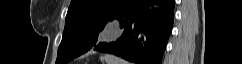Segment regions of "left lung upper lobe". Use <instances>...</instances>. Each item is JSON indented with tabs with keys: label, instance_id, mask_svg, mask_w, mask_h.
<instances>
[{
	"label": "left lung upper lobe",
	"instance_id": "obj_1",
	"mask_svg": "<svg viewBox=\"0 0 242 64\" xmlns=\"http://www.w3.org/2000/svg\"><path fill=\"white\" fill-rule=\"evenodd\" d=\"M130 0H72L68 9L56 64H66L97 44L105 25Z\"/></svg>",
	"mask_w": 242,
	"mask_h": 64
}]
</instances>
